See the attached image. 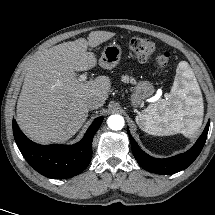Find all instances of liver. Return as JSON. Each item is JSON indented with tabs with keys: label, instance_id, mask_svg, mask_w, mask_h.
Here are the masks:
<instances>
[{
	"label": "liver",
	"instance_id": "liver-1",
	"mask_svg": "<svg viewBox=\"0 0 215 215\" xmlns=\"http://www.w3.org/2000/svg\"><path fill=\"white\" fill-rule=\"evenodd\" d=\"M115 36L92 31L84 38L64 42L37 52L29 61L17 102V121L21 130L41 144L64 142L75 135L86 121V101L108 98V77L79 81L75 71H86L97 64L88 47H96Z\"/></svg>",
	"mask_w": 215,
	"mask_h": 215
}]
</instances>
